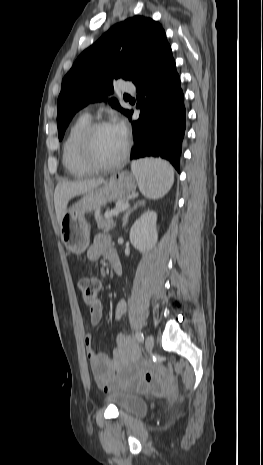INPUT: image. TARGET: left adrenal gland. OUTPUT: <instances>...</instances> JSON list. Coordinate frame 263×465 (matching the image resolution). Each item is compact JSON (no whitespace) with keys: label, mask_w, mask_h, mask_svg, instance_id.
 <instances>
[{"label":"left adrenal gland","mask_w":263,"mask_h":465,"mask_svg":"<svg viewBox=\"0 0 263 465\" xmlns=\"http://www.w3.org/2000/svg\"><path fill=\"white\" fill-rule=\"evenodd\" d=\"M145 205V201L144 200H140V201H137L132 208L128 209L125 213H124V216H123V219H122V226L125 227L127 222H128V218L130 216V214L135 210L137 209L139 206H144Z\"/></svg>","instance_id":"left-adrenal-gland-1"}]
</instances>
